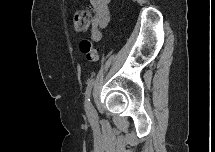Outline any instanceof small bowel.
<instances>
[{"label": "small bowel", "mask_w": 215, "mask_h": 152, "mask_svg": "<svg viewBox=\"0 0 215 152\" xmlns=\"http://www.w3.org/2000/svg\"><path fill=\"white\" fill-rule=\"evenodd\" d=\"M93 10L92 39L98 42L101 39V30L104 29L110 19L108 0H90Z\"/></svg>", "instance_id": "obj_1"}]
</instances>
